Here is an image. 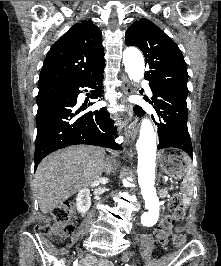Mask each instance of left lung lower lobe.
Listing matches in <instances>:
<instances>
[{
	"label": "left lung lower lobe",
	"mask_w": 221,
	"mask_h": 266,
	"mask_svg": "<svg viewBox=\"0 0 221 266\" xmlns=\"http://www.w3.org/2000/svg\"><path fill=\"white\" fill-rule=\"evenodd\" d=\"M153 92L151 104L159 117L158 150L174 147L184 150L193 158L192 144L187 128V95L167 87L151 83ZM134 111L138 116L143 113L141 107L136 106ZM154 119V117H152Z\"/></svg>",
	"instance_id": "left-lung-lower-lobe-1"
}]
</instances>
